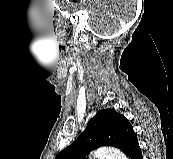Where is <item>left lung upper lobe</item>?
I'll list each match as a JSON object with an SVG mask.
<instances>
[{
  "instance_id": "left-lung-upper-lobe-1",
  "label": "left lung upper lobe",
  "mask_w": 173,
  "mask_h": 159,
  "mask_svg": "<svg viewBox=\"0 0 173 159\" xmlns=\"http://www.w3.org/2000/svg\"><path fill=\"white\" fill-rule=\"evenodd\" d=\"M137 143V135L124 115L114 109L99 110L77 140L55 159H87L90 151L101 146H114L127 155Z\"/></svg>"
}]
</instances>
